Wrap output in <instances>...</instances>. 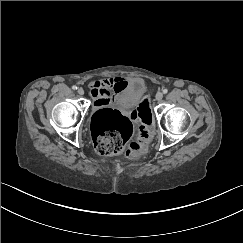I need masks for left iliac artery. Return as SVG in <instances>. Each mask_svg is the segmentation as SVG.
<instances>
[{"label":"left iliac artery","mask_w":243,"mask_h":243,"mask_svg":"<svg viewBox=\"0 0 243 243\" xmlns=\"http://www.w3.org/2000/svg\"><path fill=\"white\" fill-rule=\"evenodd\" d=\"M168 92L167 89H163V94H166Z\"/></svg>","instance_id":"obj_1"}]
</instances>
